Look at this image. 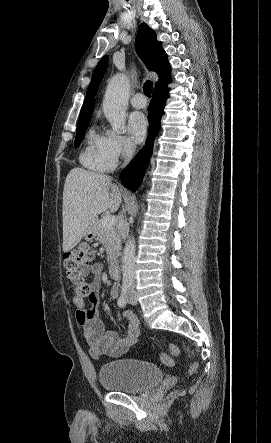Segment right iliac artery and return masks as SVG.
<instances>
[{
    "label": "right iliac artery",
    "instance_id": "82829eb1",
    "mask_svg": "<svg viewBox=\"0 0 271 443\" xmlns=\"http://www.w3.org/2000/svg\"><path fill=\"white\" fill-rule=\"evenodd\" d=\"M126 293H127V287H123L121 295L118 299V306L120 308H124L126 306L127 300H126Z\"/></svg>",
    "mask_w": 271,
    "mask_h": 443
}]
</instances>
